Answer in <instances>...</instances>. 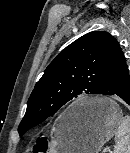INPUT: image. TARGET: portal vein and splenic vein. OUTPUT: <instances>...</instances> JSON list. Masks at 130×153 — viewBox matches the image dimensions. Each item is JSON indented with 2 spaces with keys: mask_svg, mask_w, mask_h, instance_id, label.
Listing matches in <instances>:
<instances>
[{
  "mask_svg": "<svg viewBox=\"0 0 130 153\" xmlns=\"http://www.w3.org/2000/svg\"><path fill=\"white\" fill-rule=\"evenodd\" d=\"M111 147H107L103 152L109 151Z\"/></svg>",
  "mask_w": 130,
  "mask_h": 153,
  "instance_id": "portal-vein-and-splenic-vein-1",
  "label": "portal vein and splenic vein"
}]
</instances>
